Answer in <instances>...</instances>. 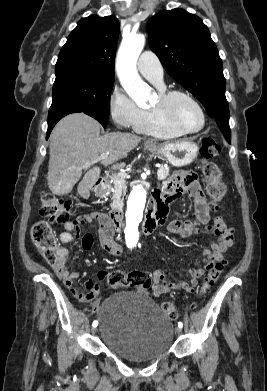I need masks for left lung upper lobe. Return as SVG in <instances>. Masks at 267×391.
<instances>
[{"label": "left lung upper lobe", "mask_w": 267, "mask_h": 391, "mask_svg": "<svg viewBox=\"0 0 267 391\" xmlns=\"http://www.w3.org/2000/svg\"><path fill=\"white\" fill-rule=\"evenodd\" d=\"M147 31L149 46L167 73L196 96L210 117H229L222 60L203 21L173 9L149 19Z\"/></svg>", "instance_id": "5c2ea615"}]
</instances>
